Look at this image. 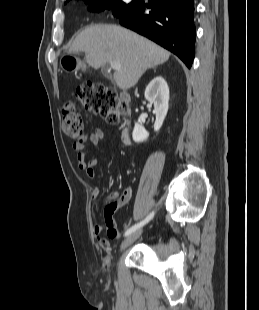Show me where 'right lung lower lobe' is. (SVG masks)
Here are the masks:
<instances>
[{"instance_id": "obj_1", "label": "right lung lower lobe", "mask_w": 259, "mask_h": 310, "mask_svg": "<svg viewBox=\"0 0 259 310\" xmlns=\"http://www.w3.org/2000/svg\"><path fill=\"white\" fill-rule=\"evenodd\" d=\"M149 9V14L145 11ZM121 25L176 54L190 68L195 50L194 0L141 1L119 17Z\"/></svg>"}]
</instances>
